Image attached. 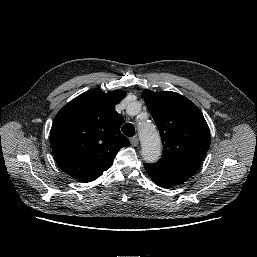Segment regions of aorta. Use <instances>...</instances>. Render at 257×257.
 <instances>
[{
	"label": "aorta",
	"instance_id": "1",
	"mask_svg": "<svg viewBox=\"0 0 257 257\" xmlns=\"http://www.w3.org/2000/svg\"><path fill=\"white\" fill-rule=\"evenodd\" d=\"M139 135L143 159L148 163L156 162L161 155V141L155 126L150 122L141 124L139 126Z\"/></svg>",
	"mask_w": 257,
	"mask_h": 257
}]
</instances>
